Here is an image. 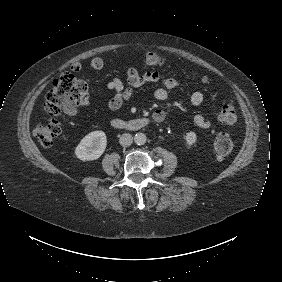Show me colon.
Listing matches in <instances>:
<instances>
[{
	"label": "colon",
	"instance_id": "obj_1",
	"mask_svg": "<svg viewBox=\"0 0 282 282\" xmlns=\"http://www.w3.org/2000/svg\"><path fill=\"white\" fill-rule=\"evenodd\" d=\"M144 62L146 65L160 66L163 64V56L159 52L151 51L144 55ZM203 81H206V78H203ZM87 98L86 83L75 75L65 72L53 81L44 107L49 115L54 116L62 110L85 105ZM218 117L227 126H233L238 121L237 112L230 106L222 107ZM59 132L60 123L56 120H50L36 127L35 136L42 144L49 145L53 143ZM213 146L216 155L223 158L232 152L234 142L229 135L220 133L215 136Z\"/></svg>",
	"mask_w": 282,
	"mask_h": 282
}]
</instances>
